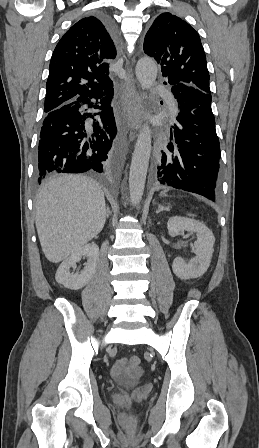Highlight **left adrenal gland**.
Listing matches in <instances>:
<instances>
[{
	"mask_svg": "<svg viewBox=\"0 0 259 448\" xmlns=\"http://www.w3.org/2000/svg\"><path fill=\"white\" fill-rule=\"evenodd\" d=\"M163 210L170 212V206H167V208H164V206H158L157 214H159V212H163Z\"/></svg>",
	"mask_w": 259,
	"mask_h": 448,
	"instance_id": "a2214340",
	"label": "left adrenal gland"
}]
</instances>
